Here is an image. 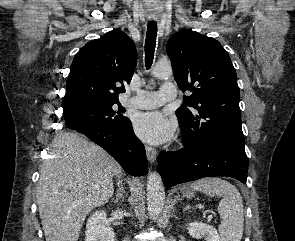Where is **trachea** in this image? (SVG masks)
I'll return each mask as SVG.
<instances>
[{
    "instance_id": "3493384b",
    "label": "trachea",
    "mask_w": 295,
    "mask_h": 241,
    "mask_svg": "<svg viewBox=\"0 0 295 241\" xmlns=\"http://www.w3.org/2000/svg\"><path fill=\"white\" fill-rule=\"evenodd\" d=\"M157 24L156 22H149L147 26L146 40H145V65L150 69L156 46Z\"/></svg>"
}]
</instances>
